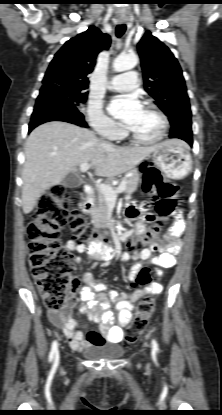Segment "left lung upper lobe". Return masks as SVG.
Returning a JSON list of instances; mask_svg holds the SVG:
<instances>
[{
    "mask_svg": "<svg viewBox=\"0 0 222 415\" xmlns=\"http://www.w3.org/2000/svg\"><path fill=\"white\" fill-rule=\"evenodd\" d=\"M138 52L144 89L156 100L172 127L191 121V110L181 67L169 48L149 31L139 41Z\"/></svg>",
    "mask_w": 222,
    "mask_h": 415,
    "instance_id": "1",
    "label": "left lung upper lobe"
}]
</instances>
